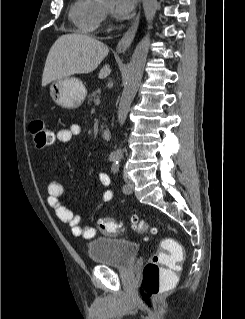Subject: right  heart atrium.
<instances>
[{
	"instance_id": "obj_1",
	"label": "right heart atrium",
	"mask_w": 245,
	"mask_h": 319,
	"mask_svg": "<svg viewBox=\"0 0 245 319\" xmlns=\"http://www.w3.org/2000/svg\"><path fill=\"white\" fill-rule=\"evenodd\" d=\"M107 19H108V12L106 10H104L103 21H107Z\"/></svg>"
}]
</instances>
